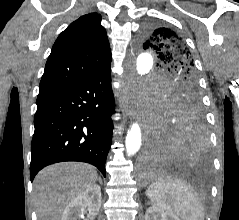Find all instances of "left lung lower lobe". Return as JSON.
I'll list each match as a JSON object with an SVG mask.
<instances>
[{
	"instance_id": "obj_1",
	"label": "left lung lower lobe",
	"mask_w": 239,
	"mask_h": 220,
	"mask_svg": "<svg viewBox=\"0 0 239 220\" xmlns=\"http://www.w3.org/2000/svg\"><path fill=\"white\" fill-rule=\"evenodd\" d=\"M208 152L203 112L196 109H161L153 121L140 169L146 174L163 172L174 164L198 163Z\"/></svg>"
}]
</instances>
